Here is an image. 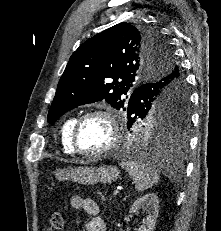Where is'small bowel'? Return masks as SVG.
I'll return each instance as SVG.
<instances>
[{"instance_id": "small-bowel-1", "label": "small bowel", "mask_w": 221, "mask_h": 231, "mask_svg": "<svg viewBox=\"0 0 221 231\" xmlns=\"http://www.w3.org/2000/svg\"><path fill=\"white\" fill-rule=\"evenodd\" d=\"M70 205L73 209H83L89 216L85 225L87 231H107L104 220L98 216L99 205L93 199L74 195L70 198Z\"/></svg>"}]
</instances>
